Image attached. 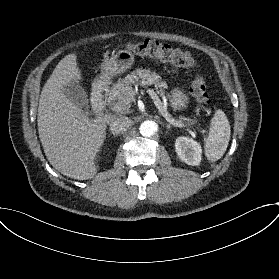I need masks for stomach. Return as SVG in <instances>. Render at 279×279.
I'll return each mask as SVG.
<instances>
[{"label":"stomach","mask_w":279,"mask_h":279,"mask_svg":"<svg viewBox=\"0 0 279 279\" xmlns=\"http://www.w3.org/2000/svg\"><path fill=\"white\" fill-rule=\"evenodd\" d=\"M136 62V56L133 51L121 49L100 65V77L106 81H112L114 77H119L130 71ZM169 106L173 112L187 111L191 105V100L185 89L174 86L170 89Z\"/></svg>","instance_id":"1"}]
</instances>
